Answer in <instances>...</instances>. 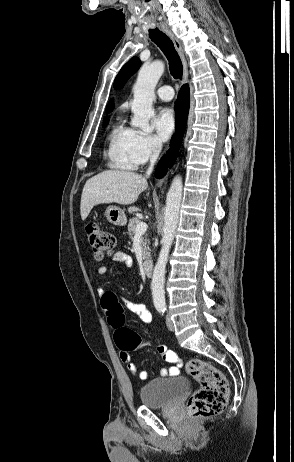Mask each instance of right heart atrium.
Here are the masks:
<instances>
[{
  "label": "right heart atrium",
  "mask_w": 294,
  "mask_h": 462,
  "mask_svg": "<svg viewBox=\"0 0 294 462\" xmlns=\"http://www.w3.org/2000/svg\"><path fill=\"white\" fill-rule=\"evenodd\" d=\"M160 147V143L153 135L141 131L133 132L131 151L137 165L144 164L154 158Z\"/></svg>",
  "instance_id": "1"
}]
</instances>
